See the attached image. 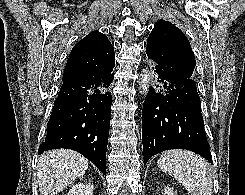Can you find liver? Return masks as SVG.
Wrapping results in <instances>:
<instances>
[{
    "label": "liver",
    "mask_w": 245,
    "mask_h": 195,
    "mask_svg": "<svg viewBox=\"0 0 245 195\" xmlns=\"http://www.w3.org/2000/svg\"><path fill=\"white\" fill-rule=\"evenodd\" d=\"M88 168V160L70 149H56L43 153L38 159L40 195H57Z\"/></svg>",
    "instance_id": "liver-1"
}]
</instances>
